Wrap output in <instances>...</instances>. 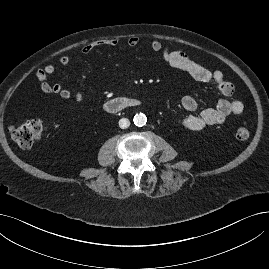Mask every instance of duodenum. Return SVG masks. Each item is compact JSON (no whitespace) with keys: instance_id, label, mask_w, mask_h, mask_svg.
<instances>
[{"instance_id":"duodenum-1","label":"duodenum","mask_w":269,"mask_h":269,"mask_svg":"<svg viewBox=\"0 0 269 269\" xmlns=\"http://www.w3.org/2000/svg\"><path fill=\"white\" fill-rule=\"evenodd\" d=\"M141 105V101L129 97H120L107 101L104 104V109L108 113H118L127 108L138 107Z\"/></svg>"}]
</instances>
